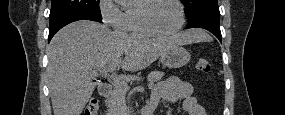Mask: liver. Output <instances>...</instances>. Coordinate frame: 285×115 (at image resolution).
Wrapping results in <instances>:
<instances>
[{
	"mask_svg": "<svg viewBox=\"0 0 285 115\" xmlns=\"http://www.w3.org/2000/svg\"><path fill=\"white\" fill-rule=\"evenodd\" d=\"M203 36L209 39L201 30L192 29L174 37L144 39L88 20L65 26L47 47L54 115H80L96 86L92 78L101 69L119 63L125 71H138L171 47L203 41Z\"/></svg>",
	"mask_w": 285,
	"mask_h": 115,
	"instance_id": "obj_1",
	"label": "liver"
}]
</instances>
